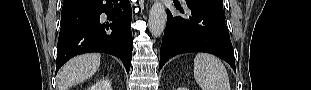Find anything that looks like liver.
I'll use <instances>...</instances> for the list:
<instances>
[{"mask_svg": "<svg viewBox=\"0 0 311 90\" xmlns=\"http://www.w3.org/2000/svg\"><path fill=\"white\" fill-rule=\"evenodd\" d=\"M100 59V54H83L69 60L59 74V90H67L94 75L100 66Z\"/></svg>", "mask_w": 311, "mask_h": 90, "instance_id": "1", "label": "liver"}]
</instances>
